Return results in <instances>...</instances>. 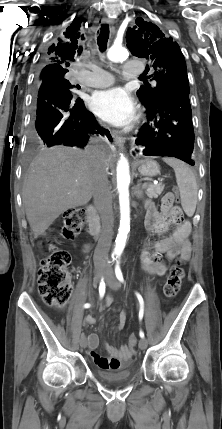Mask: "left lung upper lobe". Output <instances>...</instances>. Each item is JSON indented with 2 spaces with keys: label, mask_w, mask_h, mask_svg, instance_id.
Instances as JSON below:
<instances>
[{
  "label": "left lung upper lobe",
  "mask_w": 222,
  "mask_h": 429,
  "mask_svg": "<svg viewBox=\"0 0 222 429\" xmlns=\"http://www.w3.org/2000/svg\"><path fill=\"white\" fill-rule=\"evenodd\" d=\"M126 34L127 47L139 58L151 59L155 69V88L141 86L137 91L147 105H157L164 91L177 89L189 94V82L184 56L172 37H165L159 27L142 18Z\"/></svg>",
  "instance_id": "left-lung-upper-lobe-1"
}]
</instances>
